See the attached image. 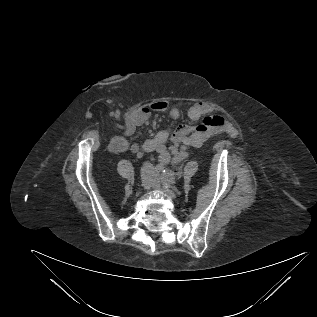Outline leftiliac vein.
Wrapping results in <instances>:
<instances>
[{
	"mask_svg": "<svg viewBox=\"0 0 317 317\" xmlns=\"http://www.w3.org/2000/svg\"><path fill=\"white\" fill-rule=\"evenodd\" d=\"M151 175L157 180V184L154 185L155 188H160V179H161V176H160V171L157 170L156 168L153 169L151 171ZM172 179H173V172L169 171V176L167 178V181H168V184L166 185H163L162 189L164 192L168 193L169 195L172 194V190H171V186H170V183H172Z\"/></svg>",
	"mask_w": 317,
	"mask_h": 317,
	"instance_id": "4c4485c4",
	"label": "left iliac vein"
}]
</instances>
